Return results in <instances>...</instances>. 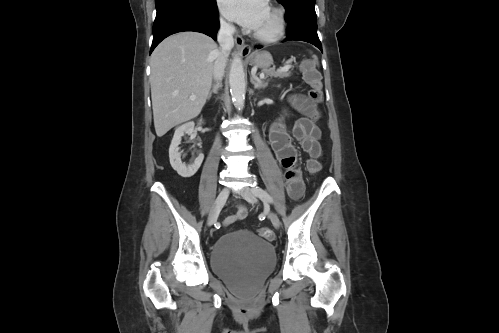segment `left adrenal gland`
Returning <instances> with one entry per match:
<instances>
[{"label":"left adrenal gland","instance_id":"a2214340","mask_svg":"<svg viewBox=\"0 0 499 333\" xmlns=\"http://www.w3.org/2000/svg\"><path fill=\"white\" fill-rule=\"evenodd\" d=\"M250 81L254 85V89H261L267 87L268 83L263 82L259 80L258 78L254 77L253 75L250 76Z\"/></svg>","mask_w":499,"mask_h":333}]
</instances>
